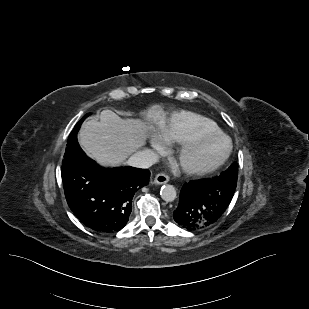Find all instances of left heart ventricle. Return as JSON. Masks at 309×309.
<instances>
[{"label": "left heart ventricle", "mask_w": 309, "mask_h": 309, "mask_svg": "<svg viewBox=\"0 0 309 309\" xmlns=\"http://www.w3.org/2000/svg\"><path fill=\"white\" fill-rule=\"evenodd\" d=\"M227 148L224 140H209L192 150L184 159L189 165L206 166L218 160Z\"/></svg>", "instance_id": "1"}]
</instances>
